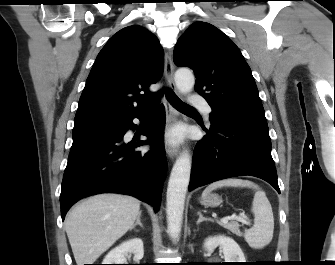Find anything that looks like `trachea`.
<instances>
[{
	"label": "trachea",
	"mask_w": 335,
	"mask_h": 265,
	"mask_svg": "<svg viewBox=\"0 0 335 265\" xmlns=\"http://www.w3.org/2000/svg\"><path fill=\"white\" fill-rule=\"evenodd\" d=\"M163 91H160L162 94ZM166 96L168 100L172 103V105L178 110H193L191 106L181 101L178 96L171 90L165 89Z\"/></svg>",
	"instance_id": "obj_1"
}]
</instances>
